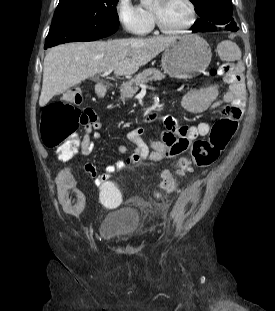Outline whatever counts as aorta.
<instances>
[{
	"label": "aorta",
	"instance_id": "762f6f07",
	"mask_svg": "<svg viewBox=\"0 0 275 311\" xmlns=\"http://www.w3.org/2000/svg\"><path fill=\"white\" fill-rule=\"evenodd\" d=\"M154 0H141V3L143 5H151L153 3Z\"/></svg>",
	"mask_w": 275,
	"mask_h": 311
}]
</instances>
